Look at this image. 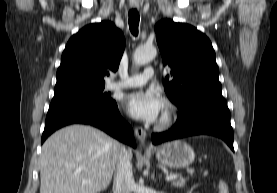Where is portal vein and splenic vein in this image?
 <instances>
[{
  "instance_id": "18ae733b",
  "label": "portal vein and splenic vein",
  "mask_w": 277,
  "mask_h": 193,
  "mask_svg": "<svg viewBox=\"0 0 277 193\" xmlns=\"http://www.w3.org/2000/svg\"><path fill=\"white\" fill-rule=\"evenodd\" d=\"M177 177H179V175H177V174L176 175H169V176L166 177V180L171 181V180L176 179Z\"/></svg>"
}]
</instances>
